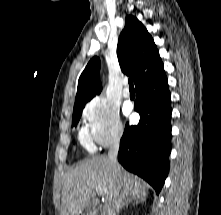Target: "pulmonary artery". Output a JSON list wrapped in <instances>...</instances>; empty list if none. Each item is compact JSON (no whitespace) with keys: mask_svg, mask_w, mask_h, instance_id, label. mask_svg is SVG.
Here are the masks:
<instances>
[{"mask_svg":"<svg viewBox=\"0 0 221 215\" xmlns=\"http://www.w3.org/2000/svg\"><path fill=\"white\" fill-rule=\"evenodd\" d=\"M123 96H124L125 98H128V97L130 96V91H129V89H128L127 87H125V88L123 89Z\"/></svg>","mask_w":221,"mask_h":215,"instance_id":"obj_1","label":"pulmonary artery"}]
</instances>
